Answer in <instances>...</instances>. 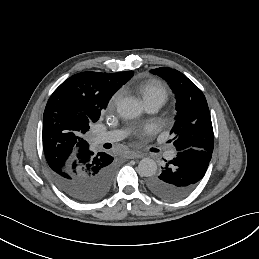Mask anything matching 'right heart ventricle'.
Masks as SVG:
<instances>
[{
  "label": "right heart ventricle",
  "instance_id": "e07e8e85",
  "mask_svg": "<svg viewBox=\"0 0 259 259\" xmlns=\"http://www.w3.org/2000/svg\"><path fill=\"white\" fill-rule=\"evenodd\" d=\"M142 82L140 81L135 85V91L142 95L144 102L156 99H160L163 102L167 100L168 91L163 84L153 81L146 86Z\"/></svg>",
  "mask_w": 259,
  "mask_h": 259
}]
</instances>
